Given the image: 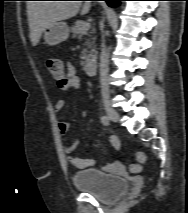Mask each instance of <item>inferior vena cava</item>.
Instances as JSON below:
<instances>
[{
    "instance_id": "602c4592",
    "label": "inferior vena cava",
    "mask_w": 188,
    "mask_h": 213,
    "mask_svg": "<svg viewBox=\"0 0 188 213\" xmlns=\"http://www.w3.org/2000/svg\"><path fill=\"white\" fill-rule=\"evenodd\" d=\"M102 50L100 54V83L102 91L108 92V71H109V61H108V52L104 43V36L102 37Z\"/></svg>"
}]
</instances>
